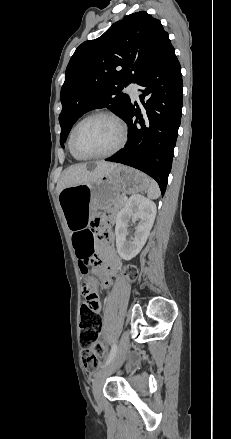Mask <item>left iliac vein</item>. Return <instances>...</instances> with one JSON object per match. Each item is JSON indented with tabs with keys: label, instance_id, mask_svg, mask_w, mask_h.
I'll list each match as a JSON object with an SVG mask.
<instances>
[{
	"label": "left iliac vein",
	"instance_id": "1",
	"mask_svg": "<svg viewBox=\"0 0 231 439\" xmlns=\"http://www.w3.org/2000/svg\"><path fill=\"white\" fill-rule=\"evenodd\" d=\"M129 332L125 331L120 339L116 355L107 366L98 372L94 378L92 391L99 406L102 405V388L105 380L113 374L124 362L129 347Z\"/></svg>",
	"mask_w": 231,
	"mask_h": 439
}]
</instances>
